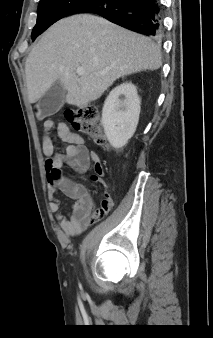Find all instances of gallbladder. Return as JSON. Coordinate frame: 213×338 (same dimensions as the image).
<instances>
[{
	"mask_svg": "<svg viewBox=\"0 0 213 338\" xmlns=\"http://www.w3.org/2000/svg\"><path fill=\"white\" fill-rule=\"evenodd\" d=\"M65 97V88L59 81H56L37 102L39 118H45L57 113L63 106Z\"/></svg>",
	"mask_w": 213,
	"mask_h": 338,
	"instance_id": "obj_1",
	"label": "gallbladder"
}]
</instances>
